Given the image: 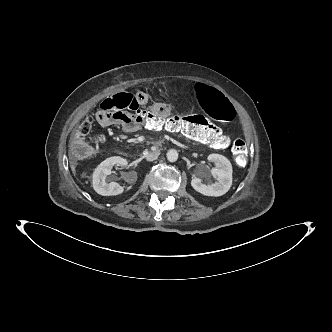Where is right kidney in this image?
<instances>
[{
	"label": "right kidney",
	"instance_id": "ca27d5eb",
	"mask_svg": "<svg viewBox=\"0 0 332 332\" xmlns=\"http://www.w3.org/2000/svg\"><path fill=\"white\" fill-rule=\"evenodd\" d=\"M127 160L120 156H113L102 161L93 173L92 184L94 190L102 196H112L123 193L124 187L117 182L107 183L106 177L111 174L115 165H127Z\"/></svg>",
	"mask_w": 332,
	"mask_h": 332
}]
</instances>
